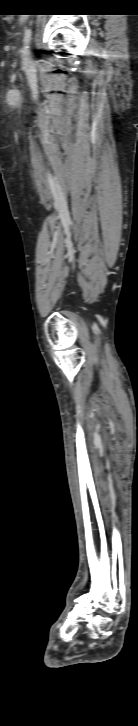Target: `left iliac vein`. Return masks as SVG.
Instances as JSON below:
<instances>
[{
  "label": "left iliac vein",
  "mask_w": 138,
  "mask_h": 726,
  "mask_svg": "<svg viewBox=\"0 0 138 726\" xmlns=\"http://www.w3.org/2000/svg\"><path fill=\"white\" fill-rule=\"evenodd\" d=\"M22 58L24 62H30L32 60L31 52L29 49L25 48L22 50Z\"/></svg>",
  "instance_id": "1"
}]
</instances>
